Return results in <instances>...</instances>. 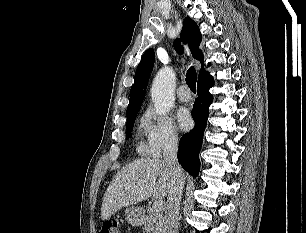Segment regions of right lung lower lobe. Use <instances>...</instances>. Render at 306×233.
<instances>
[{"label": "right lung lower lobe", "mask_w": 306, "mask_h": 233, "mask_svg": "<svg viewBox=\"0 0 306 233\" xmlns=\"http://www.w3.org/2000/svg\"><path fill=\"white\" fill-rule=\"evenodd\" d=\"M212 86L213 79L208 73L198 78V98L195 100L192 109L195 126L190 133L184 134L179 141L178 161L192 176H197L200 169L199 152L207 124L209 106L212 103V95L209 93Z\"/></svg>", "instance_id": "right-lung-lower-lobe-1"}]
</instances>
